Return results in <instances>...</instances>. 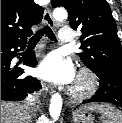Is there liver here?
<instances>
[{
    "label": "liver",
    "instance_id": "6515ba94",
    "mask_svg": "<svg viewBox=\"0 0 122 123\" xmlns=\"http://www.w3.org/2000/svg\"><path fill=\"white\" fill-rule=\"evenodd\" d=\"M29 120L30 116L24 106L1 101V123H28Z\"/></svg>",
    "mask_w": 122,
    "mask_h": 123
}]
</instances>
